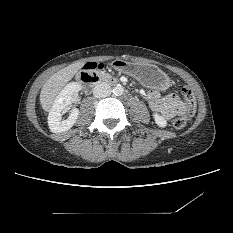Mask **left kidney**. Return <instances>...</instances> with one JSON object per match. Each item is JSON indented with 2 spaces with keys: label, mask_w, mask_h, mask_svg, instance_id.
I'll use <instances>...</instances> for the list:
<instances>
[{
  "label": "left kidney",
  "mask_w": 233,
  "mask_h": 233,
  "mask_svg": "<svg viewBox=\"0 0 233 233\" xmlns=\"http://www.w3.org/2000/svg\"><path fill=\"white\" fill-rule=\"evenodd\" d=\"M153 118H154V120H155V123H156L159 127H162V128L166 127L167 121H166L161 115H159V114H157V113H154V114H153Z\"/></svg>",
  "instance_id": "1"
}]
</instances>
